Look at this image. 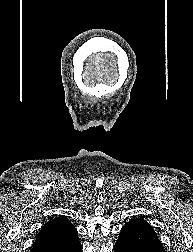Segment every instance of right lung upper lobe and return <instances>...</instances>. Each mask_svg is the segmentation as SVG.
I'll return each mask as SVG.
<instances>
[{"mask_svg": "<svg viewBox=\"0 0 193 252\" xmlns=\"http://www.w3.org/2000/svg\"><path fill=\"white\" fill-rule=\"evenodd\" d=\"M75 230L74 226L65 217H55L49 220L42 227L37 235L34 244L47 241L55 236L63 235L69 231Z\"/></svg>", "mask_w": 193, "mask_h": 252, "instance_id": "right-lung-upper-lobe-1", "label": "right lung upper lobe"}]
</instances>
